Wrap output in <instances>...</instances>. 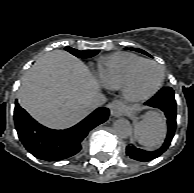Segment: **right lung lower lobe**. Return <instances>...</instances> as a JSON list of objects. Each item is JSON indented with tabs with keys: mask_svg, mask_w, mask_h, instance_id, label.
<instances>
[{
	"mask_svg": "<svg viewBox=\"0 0 194 193\" xmlns=\"http://www.w3.org/2000/svg\"><path fill=\"white\" fill-rule=\"evenodd\" d=\"M109 116L107 108H98L83 121L66 130H51L37 123L15 102L14 119L19 139L36 158L56 161L66 159L81 150L88 132L104 123Z\"/></svg>",
	"mask_w": 194,
	"mask_h": 193,
	"instance_id": "right-lung-lower-lobe-1",
	"label": "right lung lower lobe"
}]
</instances>
